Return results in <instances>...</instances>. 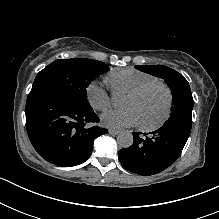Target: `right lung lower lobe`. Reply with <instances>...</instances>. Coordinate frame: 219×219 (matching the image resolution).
Masks as SVG:
<instances>
[{"label":"right lung lower lobe","instance_id":"98d812e1","mask_svg":"<svg viewBox=\"0 0 219 219\" xmlns=\"http://www.w3.org/2000/svg\"><path fill=\"white\" fill-rule=\"evenodd\" d=\"M25 113L28 136L35 150L58 166L83 163L93 150L94 140L108 133L95 125L99 118L92 107L80 106L51 91L30 92Z\"/></svg>","mask_w":219,"mask_h":219}]
</instances>
